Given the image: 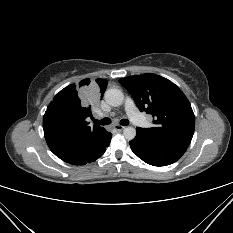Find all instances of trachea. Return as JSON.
I'll use <instances>...</instances> for the list:
<instances>
[{"mask_svg":"<svg viewBox=\"0 0 233 233\" xmlns=\"http://www.w3.org/2000/svg\"><path fill=\"white\" fill-rule=\"evenodd\" d=\"M94 122L96 124H99V125H108V124H111V120L109 118H104L102 120H94ZM120 124L122 126H127L129 124V121L127 119H122V120H120Z\"/></svg>","mask_w":233,"mask_h":233,"instance_id":"trachea-1","label":"trachea"}]
</instances>
